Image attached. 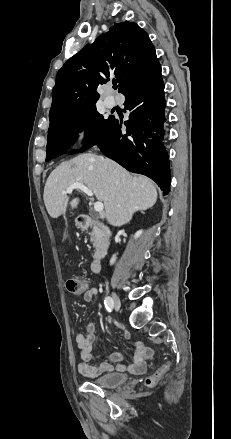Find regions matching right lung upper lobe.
Segmentation results:
<instances>
[{"mask_svg": "<svg viewBox=\"0 0 231 439\" xmlns=\"http://www.w3.org/2000/svg\"><path fill=\"white\" fill-rule=\"evenodd\" d=\"M160 75V63L147 33L136 23H117L58 71L50 124L96 107V89L112 77L125 96Z\"/></svg>", "mask_w": 231, "mask_h": 439, "instance_id": "right-lung-upper-lobe-1", "label": "right lung upper lobe"}]
</instances>
